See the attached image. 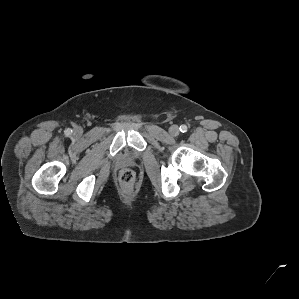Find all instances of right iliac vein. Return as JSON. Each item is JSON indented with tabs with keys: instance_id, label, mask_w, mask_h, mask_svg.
Returning <instances> with one entry per match:
<instances>
[{
	"instance_id": "right-iliac-vein-1",
	"label": "right iliac vein",
	"mask_w": 299,
	"mask_h": 299,
	"mask_svg": "<svg viewBox=\"0 0 299 299\" xmlns=\"http://www.w3.org/2000/svg\"><path fill=\"white\" fill-rule=\"evenodd\" d=\"M82 133V130L80 128L75 129V134L80 135Z\"/></svg>"
}]
</instances>
